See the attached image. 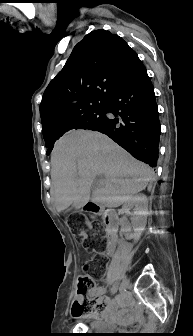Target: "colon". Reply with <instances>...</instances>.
Segmentation results:
<instances>
[{
	"instance_id": "1",
	"label": "colon",
	"mask_w": 193,
	"mask_h": 336,
	"mask_svg": "<svg viewBox=\"0 0 193 336\" xmlns=\"http://www.w3.org/2000/svg\"><path fill=\"white\" fill-rule=\"evenodd\" d=\"M67 223L70 229L74 231L76 238L82 241L86 247L98 251L102 250L104 243L103 226L95 218L88 220L84 215L74 213L68 218ZM88 232H90V238L88 237ZM89 266L88 262L83 263L84 273L78 279L76 298L72 306V316L74 318H81L100 312L103 308L99 298L87 296L95 286L94 278L87 273Z\"/></svg>"
}]
</instances>
